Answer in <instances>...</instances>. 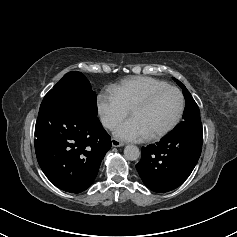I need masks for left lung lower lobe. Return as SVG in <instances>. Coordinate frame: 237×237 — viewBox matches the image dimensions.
Masks as SVG:
<instances>
[{
    "label": "left lung lower lobe",
    "instance_id": "left-lung-lower-lobe-1",
    "mask_svg": "<svg viewBox=\"0 0 237 237\" xmlns=\"http://www.w3.org/2000/svg\"><path fill=\"white\" fill-rule=\"evenodd\" d=\"M203 132L168 135L160 142L142 148L137 171L144 184L154 192H168L179 187L199 160Z\"/></svg>",
    "mask_w": 237,
    "mask_h": 237
}]
</instances>
